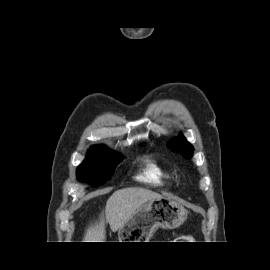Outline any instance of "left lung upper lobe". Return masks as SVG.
I'll return each instance as SVG.
<instances>
[{"mask_svg": "<svg viewBox=\"0 0 270 270\" xmlns=\"http://www.w3.org/2000/svg\"><path fill=\"white\" fill-rule=\"evenodd\" d=\"M168 147L172 151L178 152L186 158H190L194 150L192 145L188 143L182 135H179L177 138L171 140Z\"/></svg>", "mask_w": 270, "mask_h": 270, "instance_id": "obj_1", "label": "left lung upper lobe"}]
</instances>
